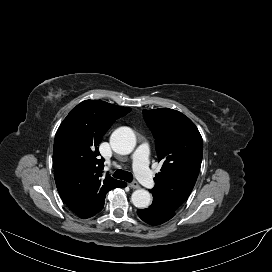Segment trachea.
Returning a JSON list of instances; mask_svg holds the SVG:
<instances>
[{
  "label": "trachea",
  "mask_w": 272,
  "mask_h": 272,
  "mask_svg": "<svg viewBox=\"0 0 272 272\" xmlns=\"http://www.w3.org/2000/svg\"><path fill=\"white\" fill-rule=\"evenodd\" d=\"M113 176L117 179L124 180L126 182H132L133 180V175L130 172L118 169Z\"/></svg>",
  "instance_id": "obj_1"
}]
</instances>
